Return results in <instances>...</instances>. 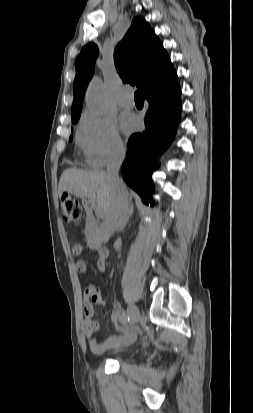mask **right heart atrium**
I'll use <instances>...</instances> for the list:
<instances>
[{"label":"right heart atrium","mask_w":253,"mask_h":413,"mask_svg":"<svg viewBox=\"0 0 253 413\" xmlns=\"http://www.w3.org/2000/svg\"><path fill=\"white\" fill-rule=\"evenodd\" d=\"M77 141L85 162L92 168H103L124 153L116 121L90 111L82 116Z\"/></svg>","instance_id":"obj_1"}]
</instances>
